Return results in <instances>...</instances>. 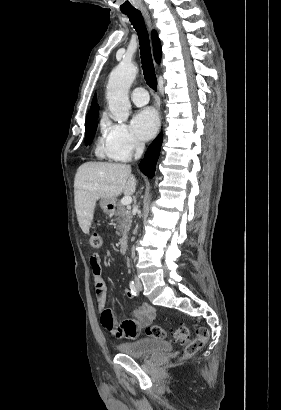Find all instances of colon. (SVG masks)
<instances>
[{
  "mask_svg": "<svg viewBox=\"0 0 281 410\" xmlns=\"http://www.w3.org/2000/svg\"><path fill=\"white\" fill-rule=\"evenodd\" d=\"M90 245L94 249H99L102 246V237L98 233H93L90 237ZM110 310L105 311V323H109L108 318L110 317ZM146 334L155 339H165L166 331L157 325L149 326L146 329ZM208 330L204 327H199L196 329L195 337L190 339V332L186 325H179L173 330V339L176 343L185 345L184 356L192 357L194 356L207 342L208 340Z\"/></svg>",
  "mask_w": 281,
  "mask_h": 410,
  "instance_id": "obj_1",
  "label": "colon"
}]
</instances>
